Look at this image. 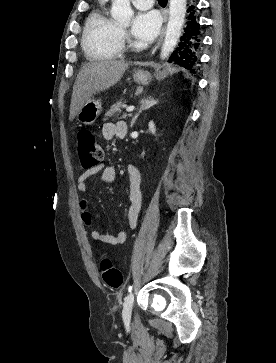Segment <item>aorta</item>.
<instances>
[{
    "mask_svg": "<svg viewBox=\"0 0 276 363\" xmlns=\"http://www.w3.org/2000/svg\"><path fill=\"white\" fill-rule=\"evenodd\" d=\"M185 14L186 0H170L169 21L164 42L161 47V59L164 60L169 57L175 49L181 36ZM111 15L117 22L129 24L133 16L130 0H113Z\"/></svg>",
    "mask_w": 276,
    "mask_h": 363,
    "instance_id": "1",
    "label": "aorta"
}]
</instances>
